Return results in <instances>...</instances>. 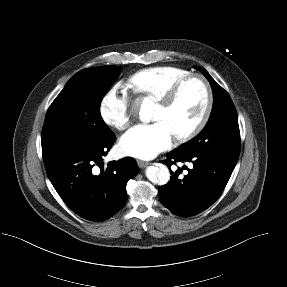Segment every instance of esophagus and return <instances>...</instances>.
Instances as JSON below:
<instances>
[{
	"mask_svg": "<svg viewBox=\"0 0 287 287\" xmlns=\"http://www.w3.org/2000/svg\"><path fill=\"white\" fill-rule=\"evenodd\" d=\"M137 163H138V166H139L140 168H144V167H146V166L149 165L148 162H145V161H142V160H137Z\"/></svg>",
	"mask_w": 287,
	"mask_h": 287,
	"instance_id": "esophagus-1",
	"label": "esophagus"
}]
</instances>
